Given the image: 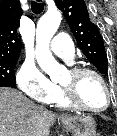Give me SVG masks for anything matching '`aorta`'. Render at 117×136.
<instances>
[{"instance_id":"762f6f07","label":"aorta","mask_w":117,"mask_h":136,"mask_svg":"<svg viewBox=\"0 0 117 136\" xmlns=\"http://www.w3.org/2000/svg\"><path fill=\"white\" fill-rule=\"evenodd\" d=\"M61 20L62 16L59 11H48L39 19L36 29V59L41 69L52 79L64 70L49 49L50 41L59 28Z\"/></svg>"}]
</instances>
